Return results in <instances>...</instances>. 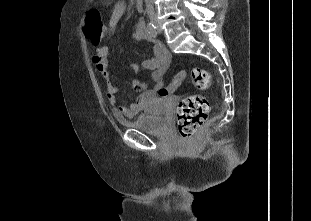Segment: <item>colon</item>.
Segmentation results:
<instances>
[{"label":"colon","mask_w":311,"mask_h":221,"mask_svg":"<svg viewBox=\"0 0 311 221\" xmlns=\"http://www.w3.org/2000/svg\"><path fill=\"white\" fill-rule=\"evenodd\" d=\"M101 12L97 8H89L86 12V25L84 27L85 39L97 46L102 38L104 26L99 21ZM185 77V72H181L175 82L167 88H159V95H168L169 91L178 85ZM194 86L197 89L206 90L212 86L210 73L203 69L194 67L192 69ZM210 104L206 97L201 95H189L181 98L177 107V117L175 127L181 135L182 141H191L192 136L201 128L210 113Z\"/></svg>","instance_id":"colon-1"}]
</instances>
